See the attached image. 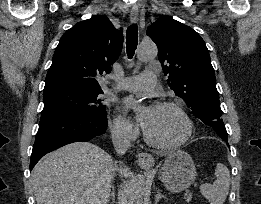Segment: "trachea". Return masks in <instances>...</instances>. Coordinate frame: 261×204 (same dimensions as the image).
I'll return each mask as SVG.
<instances>
[{
	"label": "trachea",
	"mask_w": 261,
	"mask_h": 204,
	"mask_svg": "<svg viewBox=\"0 0 261 204\" xmlns=\"http://www.w3.org/2000/svg\"><path fill=\"white\" fill-rule=\"evenodd\" d=\"M138 43V27L137 24H132L126 32V49L128 58L131 59L135 54Z\"/></svg>",
	"instance_id": "trachea-1"
}]
</instances>
